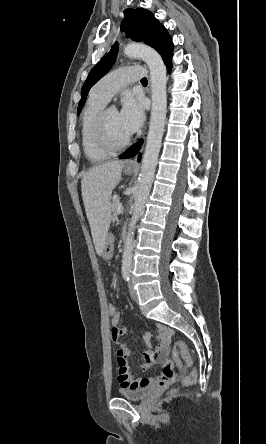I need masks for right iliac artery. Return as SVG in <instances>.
<instances>
[{
	"label": "right iliac artery",
	"instance_id": "1",
	"mask_svg": "<svg viewBox=\"0 0 266 444\" xmlns=\"http://www.w3.org/2000/svg\"><path fill=\"white\" fill-rule=\"evenodd\" d=\"M123 277L126 281H129L130 275L129 274H123Z\"/></svg>",
	"mask_w": 266,
	"mask_h": 444
}]
</instances>
